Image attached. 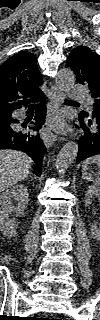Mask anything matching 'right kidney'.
<instances>
[{
  "instance_id": "right-kidney-1",
  "label": "right kidney",
  "mask_w": 100,
  "mask_h": 320,
  "mask_svg": "<svg viewBox=\"0 0 100 320\" xmlns=\"http://www.w3.org/2000/svg\"><path fill=\"white\" fill-rule=\"evenodd\" d=\"M28 197V190L22 184L14 185L0 194V230L6 237L16 236V217L24 215Z\"/></svg>"
}]
</instances>
